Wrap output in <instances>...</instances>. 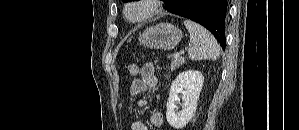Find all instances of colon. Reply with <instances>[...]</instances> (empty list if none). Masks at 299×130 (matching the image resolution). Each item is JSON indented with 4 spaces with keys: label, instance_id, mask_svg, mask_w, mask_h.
<instances>
[{
    "label": "colon",
    "instance_id": "1",
    "mask_svg": "<svg viewBox=\"0 0 299 130\" xmlns=\"http://www.w3.org/2000/svg\"><path fill=\"white\" fill-rule=\"evenodd\" d=\"M128 71H129L130 76L133 77L134 80H137L139 78L138 76H139V73H140V69H139V66L136 63H132L129 66Z\"/></svg>",
    "mask_w": 299,
    "mask_h": 130
}]
</instances>
